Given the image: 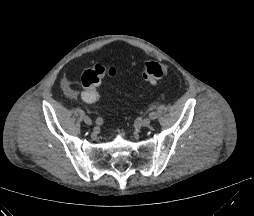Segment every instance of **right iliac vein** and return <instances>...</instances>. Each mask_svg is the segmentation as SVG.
<instances>
[{"mask_svg":"<svg viewBox=\"0 0 254 216\" xmlns=\"http://www.w3.org/2000/svg\"><path fill=\"white\" fill-rule=\"evenodd\" d=\"M84 123L88 126L93 124L92 120L89 117H84Z\"/></svg>","mask_w":254,"mask_h":216,"instance_id":"right-iliac-vein-1","label":"right iliac vein"}]
</instances>
